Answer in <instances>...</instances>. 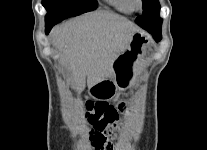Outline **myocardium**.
Masks as SVG:
<instances>
[{
    "label": "myocardium",
    "mask_w": 207,
    "mask_h": 150,
    "mask_svg": "<svg viewBox=\"0 0 207 150\" xmlns=\"http://www.w3.org/2000/svg\"><path fill=\"white\" fill-rule=\"evenodd\" d=\"M134 10H141L143 8V0H130Z\"/></svg>",
    "instance_id": "f54148a6"
}]
</instances>
